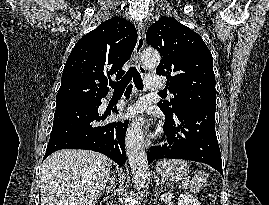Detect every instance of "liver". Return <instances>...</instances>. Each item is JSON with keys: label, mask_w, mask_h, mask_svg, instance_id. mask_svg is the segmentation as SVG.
<instances>
[{"label": "liver", "mask_w": 269, "mask_h": 205, "mask_svg": "<svg viewBox=\"0 0 269 205\" xmlns=\"http://www.w3.org/2000/svg\"><path fill=\"white\" fill-rule=\"evenodd\" d=\"M111 169L106 156L90 150L63 149L43 163L41 205H95Z\"/></svg>", "instance_id": "6515ba94"}]
</instances>
